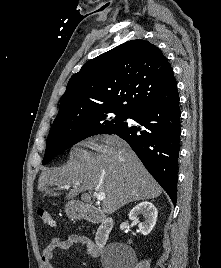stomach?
<instances>
[{
  "label": "stomach",
  "instance_id": "stomach-1",
  "mask_svg": "<svg viewBox=\"0 0 221 268\" xmlns=\"http://www.w3.org/2000/svg\"><path fill=\"white\" fill-rule=\"evenodd\" d=\"M65 212L68 217L73 218V219H80L84 217L86 213V209L83 205L77 203V202H68L65 205Z\"/></svg>",
  "mask_w": 221,
  "mask_h": 268
}]
</instances>
